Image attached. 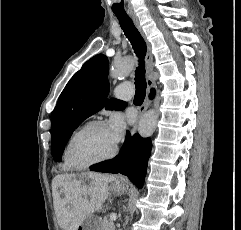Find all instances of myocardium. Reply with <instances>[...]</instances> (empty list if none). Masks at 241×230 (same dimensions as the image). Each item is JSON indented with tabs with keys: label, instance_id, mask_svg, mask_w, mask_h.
<instances>
[{
	"label": "myocardium",
	"instance_id": "obj_1",
	"mask_svg": "<svg viewBox=\"0 0 241 230\" xmlns=\"http://www.w3.org/2000/svg\"><path fill=\"white\" fill-rule=\"evenodd\" d=\"M106 126L105 122L102 120H93L90 121L88 123H86L85 125H83L81 128H79L69 139L68 144L66 146V159L69 162V164L71 165V167L73 169H83V168H88L97 164H101V163H105L108 162L112 159H114L118 152H119V148L117 145H115L114 149L112 150L111 153H109L108 155L102 157V158H98L95 160H91L88 162H84V163H77L72 156V149L73 146L75 144V142L77 141V139L86 131L95 128V127H104Z\"/></svg>",
	"mask_w": 241,
	"mask_h": 230
}]
</instances>
